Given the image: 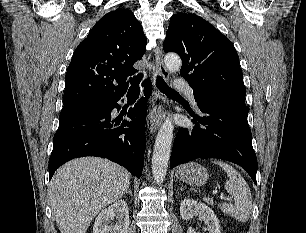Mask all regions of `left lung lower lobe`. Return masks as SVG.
I'll return each instance as SVG.
<instances>
[{"label":"left lung lower lobe","mask_w":306,"mask_h":233,"mask_svg":"<svg viewBox=\"0 0 306 233\" xmlns=\"http://www.w3.org/2000/svg\"><path fill=\"white\" fill-rule=\"evenodd\" d=\"M196 102L202 117L192 114L194 128L179 129L170 167L196 158H218L240 165L256 184L258 165L247 123V106L227 100Z\"/></svg>","instance_id":"0a47b994"}]
</instances>
